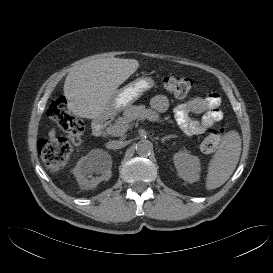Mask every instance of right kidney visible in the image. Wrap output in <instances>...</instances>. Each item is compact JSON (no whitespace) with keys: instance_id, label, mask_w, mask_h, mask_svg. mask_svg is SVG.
I'll list each match as a JSON object with an SVG mask.
<instances>
[{"instance_id":"1","label":"right kidney","mask_w":273,"mask_h":273,"mask_svg":"<svg viewBox=\"0 0 273 273\" xmlns=\"http://www.w3.org/2000/svg\"><path fill=\"white\" fill-rule=\"evenodd\" d=\"M73 173L79 185L88 188L96 187L100 181L110 178L111 158L108 154H102L100 157L95 158L91 153L77 163ZM93 173L101 174V176L90 179Z\"/></svg>"}]
</instances>
